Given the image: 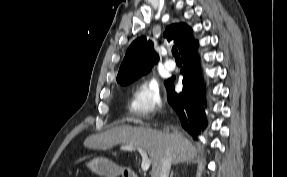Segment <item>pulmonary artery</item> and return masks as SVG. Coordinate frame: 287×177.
Returning a JSON list of instances; mask_svg holds the SVG:
<instances>
[{
    "instance_id": "pulmonary-artery-1",
    "label": "pulmonary artery",
    "mask_w": 287,
    "mask_h": 177,
    "mask_svg": "<svg viewBox=\"0 0 287 177\" xmlns=\"http://www.w3.org/2000/svg\"><path fill=\"white\" fill-rule=\"evenodd\" d=\"M176 65L175 63L173 62V60H168L166 61L165 63V68L169 71H173L175 69Z\"/></svg>"
}]
</instances>
